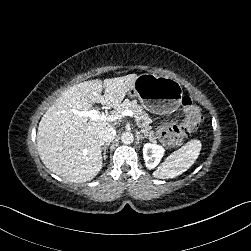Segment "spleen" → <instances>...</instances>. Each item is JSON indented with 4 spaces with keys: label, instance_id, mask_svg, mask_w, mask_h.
<instances>
[{
    "label": "spleen",
    "instance_id": "obj_1",
    "mask_svg": "<svg viewBox=\"0 0 251 251\" xmlns=\"http://www.w3.org/2000/svg\"><path fill=\"white\" fill-rule=\"evenodd\" d=\"M201 142L191 140L185 146L172 153L153 173L158 179L174 178L189 169L199 156Z\"/></svg>",
    "mask_w": 251,
    "mask_h": 251
}]
</instances>
